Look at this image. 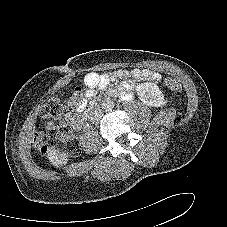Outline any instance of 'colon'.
Returning a JSON list of instances; mask_svg holds the SVG:
<instances>
[{"mask_svg":"<svg viewBox=\"0 0 227 227\" xmlns=\"http://www.w3.org/2000/svg\"><path fill=\"white\" fill-rule=\"evenodd\" d=\"M164 85L174 93L181 90L177 79L171 76L164 78ZM81 96V89L76 88L70 100L75 103ZM40 116L46 121V129L36 132L33 140L35 148L43 154L56 150L68 156L78 155L80 145L65 120V108L61 101L56 97L49 98L41 107Z\"/></svg>","mask_w":227,"mask_h":227,"instance_id":"obj_1","label":"colon"}]
</instances>
